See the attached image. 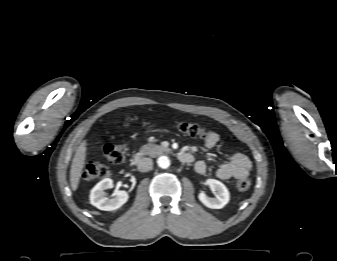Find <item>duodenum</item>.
Instances as JSON below:
<instances>
[{
  "instance_id": "obj_1",
  "label": "duodenum",
  "mask_w": 337,
  "mask_h": 261,
  "mask_svg": "<svg viewBox=\"0 0 337 261\" xmlns=\"http://www.w3.org/2000/svg\"><path fill=\"white\" fill-rule=\"evenodd\" d=\"M142 159H143L142 154L136 153L132 158L133 165H138L142 161ZM178 159L181 162L188 163V162H191L193 160V157L189 153L181 152V153L178 154Z\"/></svg>"
}]
</instances>
